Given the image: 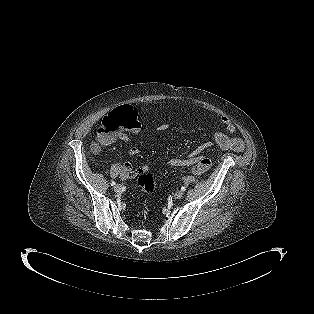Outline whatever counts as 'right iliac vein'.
Listing matches in <instances>:
<instances>
[{"label":"right iliac vein","mask_w":314,"mask_h":314,"mask_svg":"<svg viewBox=\"0 0 314 314\" xmlns=\"http://www.w3.org/2000/svg\"><path fill=\"white\" fill-rule=\"evenodd\" d=\"M114 191L120 193L122 191V186L120 184H116L114 186Z\"/></svg>","instance_id":"right-iliac-vein-1"}]
</instances>
